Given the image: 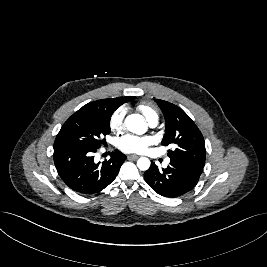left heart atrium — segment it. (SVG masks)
Listing matches in <instances>:
<instances>
[{
  "label": "left heart atrium",
  "instance_id": "1",
  "mask_svg": "<svg viewBox=\"0 0 267 267\" xmlns=\"http://www.w3.org/2000/svg\"><path fill=\"white\" fill-rule=\"evenodd\" d=\"M152 143L150 136L124 135L118 140V147L126 153H143Z\"/></svg>",
  "mask_w": 267,
  "mask_h": 267
}]
</instances>
